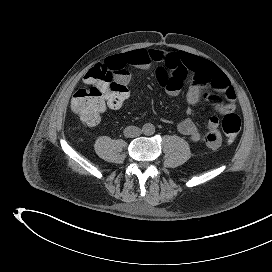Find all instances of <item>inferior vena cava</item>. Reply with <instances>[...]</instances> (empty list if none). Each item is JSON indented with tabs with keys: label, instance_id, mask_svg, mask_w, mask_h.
Wrapping results in <instances>:
<instances>
[{
	"label": "inferior vena cava",
	"instance_id": "inferior-vena-cava-1",
	"mask_svg": "<svg viewBox=\"0 0 272 272\" xmlns=\"http://www.w3.org/2000/svg\"><path fill=\"white\" fill-rule=\"evenodd\" d=\"M142 133L141 129L136 126H128L124 129V135L128 138L137 137Z\"/></svg>",
	"mask_w": 272,
	"mask_h": 272
}]
</instances>
